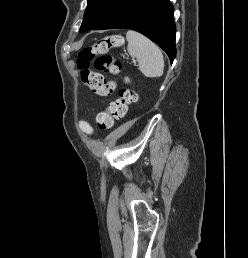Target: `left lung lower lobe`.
<instances>
[{
  "label": "left lung lower lobe",
  "mask_w": 248,
  "mask_h": 258,
  "mask_svg": "<svg viewBox=\"0 0 248 258\" xmlns=\"http://www.w3.org/2000/svg\"><path fill=\"white\" fill-rule=\"evenodd\" d=\"M173 11L169 0H128L113 17L93 29L138 31L159 45L172 63L176 56Z\"/></svg>",
  "instance_id": "0a47b994"
}]
</instances>
